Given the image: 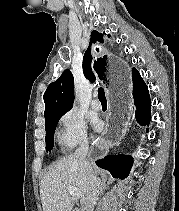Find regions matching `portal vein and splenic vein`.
Returning a JSON list of instances; mask_svg holds the SVG:
<instances>
[{"label":"portal vein and splenic vein","mask_w":179,"mask_h":211,"mask_svg":"<svg viewBox=\"0 0 179 211\" xmlns=\"http://www.w3.org/2000/svg\"><path fill=\"white\" fill-rule=\"evenodd\" d=\"M67 189L71 196H73L75 198L81 197V193L76 188L68 186Z\"/></svg>","instance_id":"1"}]
</instances>
